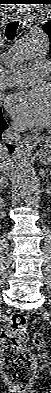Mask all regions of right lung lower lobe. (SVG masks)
Returning a JSON list of instances; mask_svg holds the SVG:
<instances>
[{
  "label": "right lung lower lobe",
  "instance_id": "right-lung-lower-lobe-1",
  "mask_svg": "<svg viewBox=\"0 0 51 393\" xmlns=\"http://www.w3.org/2000/svg\"><path fill=\"white\" fill-rule=\"evenodd\" d=\"M8 128L7 123L4 121L2 114H0V139H1V133ZM2 145V143H0ZM6 146L8 147L10 153H12L14 151V146L13 145H9L6 144Z\"/></svg>",
  "mask_w": 51,
  "mask_h": 393
}]
</instances>
